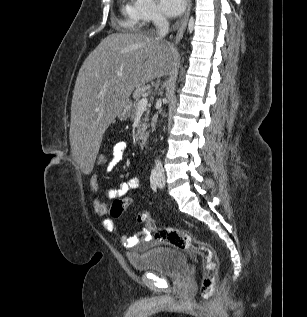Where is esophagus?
I'll return each mask as SVG.
<instances>
[{
  "label": "esophagus",
  "mask_w": 307,
  "mask_h": 317,
  "mask_svg": "<svg viewBox=\"0 0 307 317\" xmlns=\"http://www.w3.org/2000/svg\"><path fill=\"white\" fill-rule=\"evenodd\" d=\"M191 6H192V1L191 0H187V8H186V12L184 14L183 19L180 22V26L178 29V32L176 34L175 37V44L179 43L180 40L183 38L187 23H188V19L190 16V10H191Z\"/></svg>",
  "instance_id": "34e87169"
}]
</instances>
